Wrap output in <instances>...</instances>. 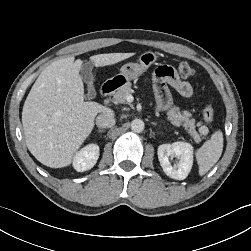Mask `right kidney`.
<instances>
[{
	"label": "right kidney",
	"mask_w": 251,
	"mask_h": 251,
	"mask_svg": "<svg viewBox=\"0 0 251 251\" xmlns=\"http://www.w3.org/2000/svg\"><path fill=\"white\" fill-rule=\"evenodd\" d=\"M99 158V146L89 144L82 148L73 158V167L78 172L91 169Z\"/></svg>",
	"instance_id": "1"
}]
</instances>
